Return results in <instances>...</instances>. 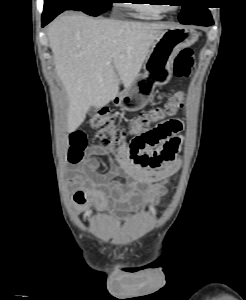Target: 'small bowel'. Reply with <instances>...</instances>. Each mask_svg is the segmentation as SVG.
I'll return each instance as SVG.
<instances>
[{
	"label": "small bowel",
	"instance_id": "c3829d8e",
	"mask_svg": "<svg viewBox=\"0 0 246 300\" xmlns=\"http://www.w3.org/2000/svg\"><path fill=\"white\" fill-rule=\"evenodd\" d=\"M182 126L181 122V129ZM178 133L171 141L149 153L161 158L157 166L141 164L139 157L142 154L133 153L128 145L121 146L115 153L99 145L89 146L86 156L73 164L68 177L74 205L89 206L100 213L110 205L125 211L140 208L142 204H156L166 192L165 183L181 166V137ZM98 157L107 159L108 172H99ZM119 177L124 181L118 180Z\"/></svg>",
	"mask_w": 246,
	"mask_h": 300
}]
</instances>
